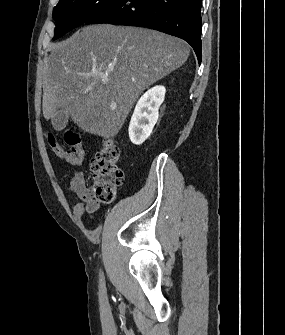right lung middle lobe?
<instances>
[{"label": "right lung middle lobe", "mask_w": 285, "mask_h": 335, "mask_svg": "<svg viewBox=\"0 0 285 335\" xmlns=\"http://www.w3.org/2000/svg\"><path fill=\"white\" fill-rule=\"evenodd\" d=\"M118 0H60L53 10L56 40L110 7Z\"/></svg>", "instance_id": "obj_1"}]
</instances>
